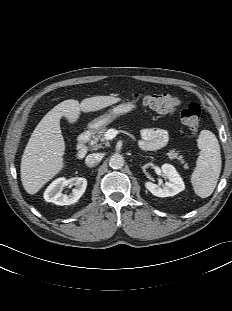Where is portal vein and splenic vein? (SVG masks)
I'll list each match as a JSON object with an SVG mask.
<instances>
[{
    "label": "portal vein and splenic vein",
    "mask_w": 232,
    "mask_h": 311,
    "mask_svg": "<svg viewBox=\"0 0 232 311\" xmlns=\"http://www.w3.org/2000/svg\"><path fill=\"white\" fill-rule=\"evenodd\" d=\"M118 134V131L115 129H109L105 134L106 140H112L116 135Z\"/></svg>",
    "instance_id": "1"
}]
</instances>
